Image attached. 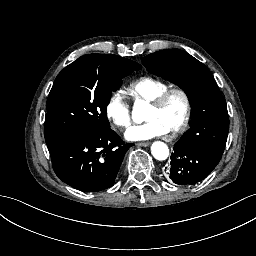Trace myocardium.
<instances>
[{
  "instance_id": "myocardium-1",
  "label": "myocardium",
  "mask_w": 256,
  "mask_h": 256,
  "mask_svg": "<svg viewBox=\"0 0 256 256\" xmlns=\"http://www.w3.org/2000/svg\"><path fill=\"white\" fill-rule=\"evenodd\" d=\"M176 97L181 106V111L176 115H170L171 128L175 129L183 125L189 117V102L185 93L180 89H173L162 94L154 103L146 109L147 113H159L167 109L171 99Z\"/></svg>"
}]
</instances>
